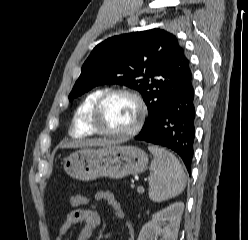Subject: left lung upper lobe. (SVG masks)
Listing matches in <instances>:
<instances>
[{
  "label": "left lung upper lobe",
  "mask_w": 248,
  "mask_h": 240,
  "mask_svg": "<svg viewBox=\"0 0 248 240\" xmlns=\"http://www.w3.org/2000/svg\"><path fill=\"white\" fill-rule=\"evenodd\" d=\"M191 81L189 60L177 37L152 29L98 44L83 64L69 100L101 84L127 86L140 92L148 108L144 128L168 98Z\"/></svg>",
  "instance_id": "1"
}]
</instances>
